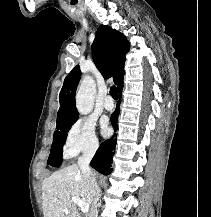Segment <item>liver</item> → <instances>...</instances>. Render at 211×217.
<instances>
[{
  "mask_svg": "<svg viewBox=\"0 0 211 217\" xmlns=\"http://www.w3.org/2000/svg\"><path fill=\"white\" fill-rule=\"evenodd\" d=\"M94 177L97 174L93 172ZM72 197L80 198L91 207L87 179L77 164L54 172L42 183L44 217H81Z\"/></svg>",
  "mask_w": 211,
  "mask_h": 217,
  "instance_id": "6515ba94",
  "label": "liver"
}]
</instances>
